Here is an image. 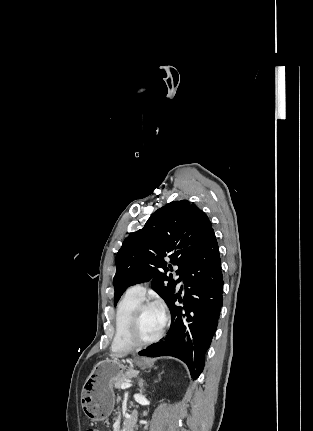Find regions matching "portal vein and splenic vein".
<instances>
[{
    "mask_svg": "<svg viewBox=\"0 0 313 431\" xmlns=\"http://www.w3.org/2000/svg\"><path fill=\"white\" fill-rule=\"evenodd\" d=\"M132 386V384L131 383H129V382H127V383H123L122 385H121V389H127V388H130Z\"/></svg>",
    "mask_w": 313,
    "mask_h": 431,
    "instance_id": "18ae733b",
    "label": "portal vein and splenic vein"
}]
</instances>
